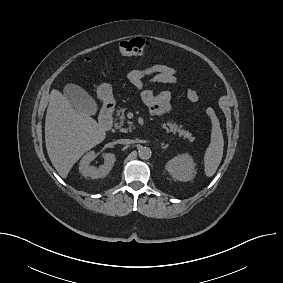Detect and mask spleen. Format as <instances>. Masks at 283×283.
Wrapping results in <instances>:
<instances>
[{
  "instance_id": "obj_1",
  "label": "spleen",
  "mask_w": 283,
  "mask_h": 283,
  "mask_svg": "<svg viewBox=\"0 0 283 283\" xmlns=\"http://www.w3.org/2000/svg\"><path fill=\"white\" fill-rule=\"evenodd\" d=\"M207 113L211 119L212 130L211 141L204 155V167L206 176L212 177L222 160L224 139L219 120L215 115L213 109L209 108Z\"/></svg>"
}]
</instances>
